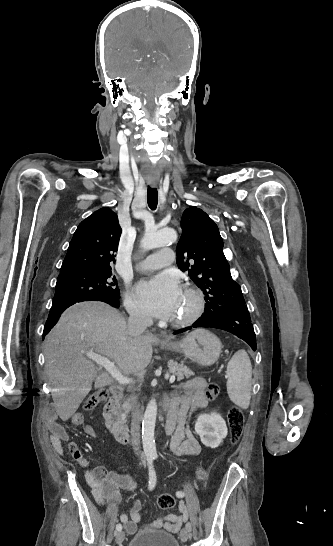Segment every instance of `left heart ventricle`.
Segmentation results:
<instances>
[{
    "instance_id": "left-heart-ventricle-1",
    "label": "left heart ventricle",
    "mask_w": 333,
    "mask_h": 546,
    "mask_svg": "<svg viewBox=\"0 0 333 546\" xmlns=\"http://www.w3.org/2000/svg\"><path fill=\"white\" fill-rule=\"evenodd\" d=\"M192 306L193 301L191 297L185 291H182L171 318L181 319L185 317L191 311Z\"/></svg>"
}]
</instances>
